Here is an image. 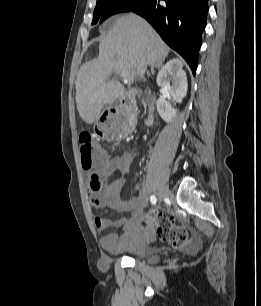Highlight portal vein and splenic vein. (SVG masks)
I'll return each mask as SVG.
<instances>
[{"mask_svg":"<svg viewBox=\"0 0 261 306\" xmlns=\"http://www.w3.org/2000/svg\"><path fill=\"white\" fill-rule=\"evenodd\" d=\"M120 75L124 79V81L127 82L129 79L130 73L128 71H123Z\"/></svg>","mask_w":261,"mask_h":306,"instance_id":"18ae733b","label":"portal vein and splenic vein"}]
</instances>
